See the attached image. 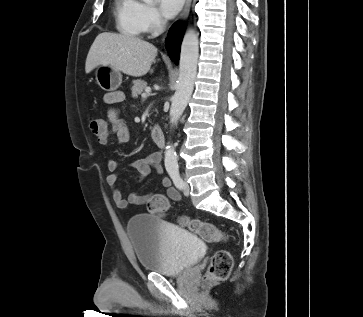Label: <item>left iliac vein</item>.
Wrapping results in <instances>:
<instances>
[{"label": "left iliac vein", "instance_id": "1", "mask_svg": "<svg viewBox=\"0 0 363 317\" xmlns=\"http://www.w3.org/2000/svg\"><path fill=\"white\" fill-rule=\"evenodd\" d=\"M183 192H184L185 195H189L190 187H189V184L187 182H184Z\"/></svg>", "mask_w": 363, "mask_h": 317}]
</instances>
